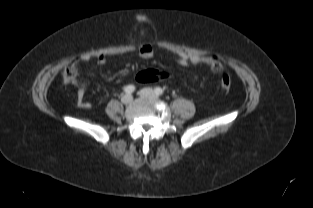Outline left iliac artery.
<instances>
[{"label": "left iliac artery", "mask_w": 313, "mask_h": 208, "mask_svg": "<svg viewBox=\"0 0 313 208\" xmlns=\"http://www.w3.org/2000/svg\"><path fill=\"white\" fill-rule=\"evenodd\" d=\"M154 91L157 95H162L164 92L163 89L160 87H156Z\"/></svg>", "instance_id": "left-iliac-artery-1"}]
</instances>
